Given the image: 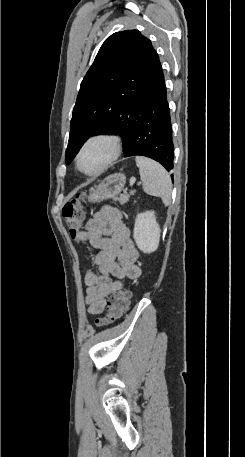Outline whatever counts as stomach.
I'll return each instance as SVG.
<instances>
[{"label":"stomach","instance_id":"1","mask_svg":"<svg viewBox=\"0 0 245 457\" xmlns=\"http://www.w3.org/2000/svg\"><path fill=\"white\" fill-rule=\"evenodd\" d=\"M125 182L126 176L123 172L109 174V176H106L99 184L94 186L88 198L91 202H100V200H105V198H117V194L121 192L123 186H125Z\"/></svg>","mask_w":245,"mask_h":457}]
</instances>
